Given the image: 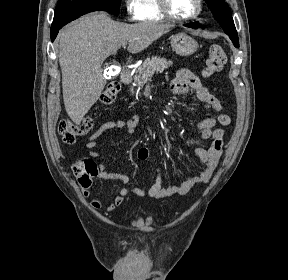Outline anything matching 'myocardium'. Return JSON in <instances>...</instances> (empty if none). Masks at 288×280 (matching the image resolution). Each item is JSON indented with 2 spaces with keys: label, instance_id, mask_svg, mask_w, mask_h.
<instances>
[{
  "label": "myocardium",
  "instance_id": "f54148a6",
  "mask_svg": "<svg viewBox=\"0 0 288 280\" xmlns=\"http://www.w3.org/2000/svg\"><path fill=\"white\" fill-rule=\"evenodd\" d=\"M158 1V6L160 9V12L162 13V15L170 20V21H174V22H189L192 21L194 19H196L202 12L203 9V0H197V8L195 10V12L187 17H177L175 16L169 6V1L168 0H157Z\"/></svg>",
  "mask_w": 288,
  "mask_h": 280
}]
</instances>
